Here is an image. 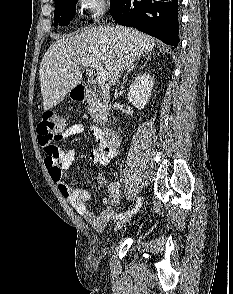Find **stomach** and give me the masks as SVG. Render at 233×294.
Returning <instances> with one entry per match:
<instances>
[{"label":"stomach","instance_id":"1","mask_svg":"<svg viewBox=\"0 0 233 294\" xmlns=\"http://www.w3.org/2000/svg\"><path fill=\"white\" fill-rule=\"evenodd\" d=\"M69 95L72 99H76V97L78 96L74 89L69 92Z\"/></svg>","mask_w":233,"mask_h":294}]
</instances>
